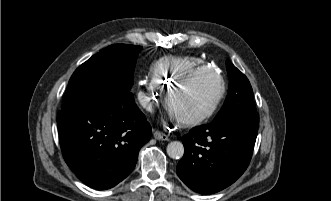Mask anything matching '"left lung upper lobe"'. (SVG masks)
I'll return each mask as SVG.
<instances>
[{
  "instance_id": "obj_1",
  "label": "left lung upper lobe",
  "mask_w": 331,
  "mask_h": 201,
  "mask_svg": "<svg viewBox=\"0 0 331 201\" xmlns=\"http://www.w3.org/2000/svg\"><path fill=\"white\" fill-rule=\"evenodd\" d=\"M226 68L229 77L228 95L215 119L232 115L257 113L253 99V90L247 77L229 60L226 61Z\"/></svg>"
}]
</instances>
